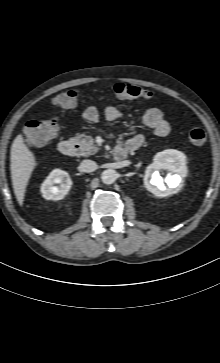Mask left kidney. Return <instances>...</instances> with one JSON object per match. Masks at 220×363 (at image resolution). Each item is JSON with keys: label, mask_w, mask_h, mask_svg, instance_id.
<instances>
[{"label": "left kidney", "mask_w": 220, "mask_h": 363, "mask_svg": "<svg viewBox=\"0 0 220 363\" xmlns=\"http://www.w3.org/2000/svg\"><path fill=\"white\" fill-rule=\"evenodd\" d=\"M168 170L165 182L159 170ZM173 173V174H172ZM187 174L185 156L174 149L164 150L154 156L153 163L146 167L144 175L145 188L157 197H166L176 193L181 187L182 178Z\"/></svg>", "instance_id": "5707ae66"}]
</instances>
